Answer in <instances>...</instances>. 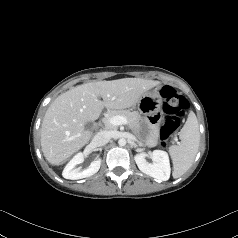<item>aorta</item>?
Masks as SVG:
<instances>
[{
    "instance_id": "obj_1",
    "label": "aorta",
    "mask_w": 238,
    "mask_h": 238,
    "mask_svg": "<svg viewBox=\"0 0 238 238\" xmlns=\"http://www.w3.org/2000/svg\"><path fill=\"white\" fill-rule=\"evenodd\" d=\"M126 143H127V141H126L125 138H120V139L118 140V144H119L120 146H125Z\"/></svg>"
}]
</instances>
